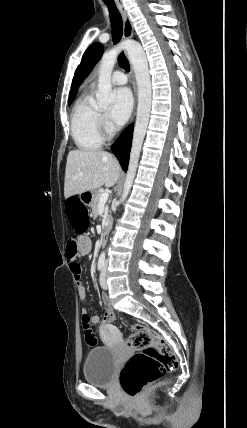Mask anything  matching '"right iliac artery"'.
Masks as SVG:
<instances>
[{"mask_svg":"<svg viewBox=\"0 0 247 428\" xmlns=\"http://www.w3.org/2000/svg\"><path fill=\"white\" fill-rule=\"evenodd\" d=\"M105 265V257L100 256L98 260V270L101 271Z\"/></svg>","mask_w":247,"mask_h":428,"instance_id":"1","label":"right iliac artery"}]
</instances>
